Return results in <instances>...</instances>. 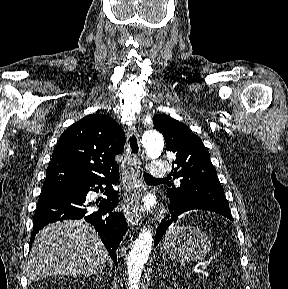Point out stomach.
Returning a JSON list of instances; mask_svg holds the SVG:
<instances>
[{
    "instance_id": "obj_1",
    "label": "stomach",
    "mask_w": 288,
    "mask_h": 289,
    "mask_svg": "<svg viewBox=\"0 0 288 289\" xmlns=\"http://www.w3.org/2000/svg\"><path fill=\"white\" fill-rule=\"evenodd\" d=\"M211 241L208 235L193 226L174 227L166 234L163 242L165 254L180 263L192 262L204 258L210 251Z\"/></svg>"
}]
</instances>
